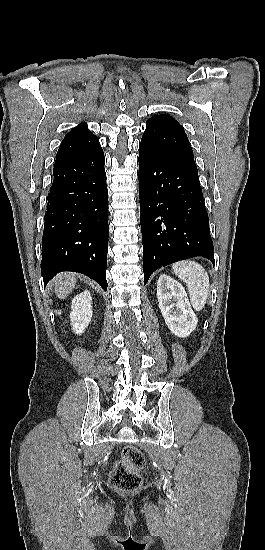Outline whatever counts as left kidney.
Returning <instances> with one entry per match:
<instances>
[{
    "mask_svg": "<svg viewBox=\"0 0 265 550\" xmlns=\"http://www.w3.org/2000/svg\"><path fill=\"white\" fill-rule=\"evenodd\" d=\"M157 298L165 323L174 335L184 338L196 329L198 318L178 281L161 275L157 283Z\"/></svg>",
    "mask_w": 265,
    "mask_h": 550,
    "instance_id": "5707ae66",
    "label": "left kidney"
}]
</instances>
